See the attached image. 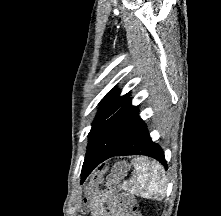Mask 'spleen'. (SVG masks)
Masks as SVG:
<instances>
[{
    "label": "spleen",
    "instance_id": "1",
    "mask_svg": "<svg viewBox=\"0 0 221 216\" xmlns=\"http://www.w3.org/2000/svg\"><path fill=\"white\" fill-rule=\"evenodd\" d=\"M133 165L135 172L131 190L145 198H163L167 187L163 166L156 161H150L143 157L135 159Z\"/></svg>",
    "mask_w": 221,
    "mask_h": 216
}]
</instances>
